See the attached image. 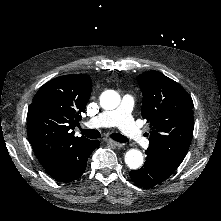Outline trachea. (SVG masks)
<instances>
[{
  "mask_svg": "<svg viewBox=\"0 0 221 221\" xmlns=\"http://www.w3.org/2000/svg\"><path fill=\"white\" fill-rule=\"evenodd\" d=\"M81 133L86 136L87 138L97 139L101 137V134L98 130L90 129V130H81ZM111 138L120 143H128L130 141L129 138L120 134V133H113L111 134Z\"/></svg>",
  "mask_w": 221,
  "mask_h": 221,
  "instance_id": "3493384b",
  "label": "trachea"
}]
</instances>
